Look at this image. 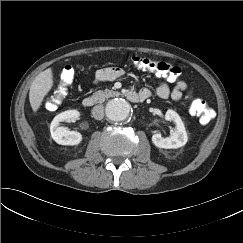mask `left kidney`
Wrapping results in <instances>:
<instances>
[{"mask_svg":"<svg viewBox=\"0 0 243 243\" xmlns=\"http://www.w3.org/2000/svg\"><path fill=\"white\" fill-rule=\"evenodd\" d=\"M165 119L173 121L176 127L171 130V135L166 138L162 137L160 133H155L152 136L154 145L164 149H177L184 146L187 143L188 137L180 116L175 111L169 109L165 114Z\"/></svg>","mask_w":243,"mask_h":243,"instance_id":"5707ae66","label":"left kidney"}]
</instances>
